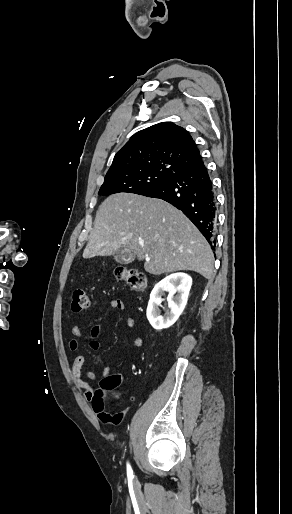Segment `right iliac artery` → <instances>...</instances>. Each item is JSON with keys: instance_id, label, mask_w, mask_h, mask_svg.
Segmentation results:
<instances>
[{"instance_id": "1", "label": "right iliac artery", "mask_w": 292, "mask_h": 514, "mask_svg": "<svg viewBox=\"0 0 292 514\" xmlns=\"http://www.w3.org/2000/svg\"><path fill=\"white\" fill-rule=\"evenodd\" d=\"M127 474L129 477H131L133 475V471H132V468L129 465V463H127Z\"/></svg>"}]
</instances>
